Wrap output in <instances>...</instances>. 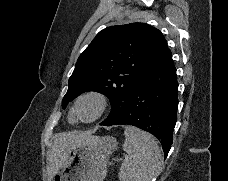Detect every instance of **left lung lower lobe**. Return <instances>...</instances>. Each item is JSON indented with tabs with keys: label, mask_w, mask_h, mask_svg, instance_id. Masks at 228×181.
I'll list each match as a JSON object with an SVG mask.
<instances>
[{
	"label": "left lung lower lobe",
	"mask_w": 228,
	"mask_h": 181,
	"mask_svg": "<svg viewBox=\"0 0 228 181\" xmlns=\"http://www.w3.org/2000/svg\"><path fill=\"white\" fill-rule=\"evenodd\" d=\"M177 108L176 68L167 48L142 73L132 90L125 115L112 125H132L153 134L166 158L173 141Z\"/></svg>",
	"instance_id": "left-lung-lower-lobe-1"
}]
</instances>
